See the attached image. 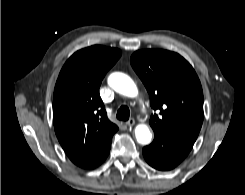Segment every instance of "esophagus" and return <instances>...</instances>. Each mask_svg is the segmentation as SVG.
<instances>
[{
  "instance_id": "obj_1",
  "label": "esophagus",
  "mask_w": 245,
  "mask_h": 195,
  "mask_svg": "<svg viewBox=\"0 0 245 195\" xmlns=\"http://www.w3.org/2000/svg\"><path fill=\"white\" fill-rule=\"evenodd\" d=\"M126 125L128 127H132L135 125V120L132 118V119H129L127 122H126Z\"/></svg>"
}]
</instances>
